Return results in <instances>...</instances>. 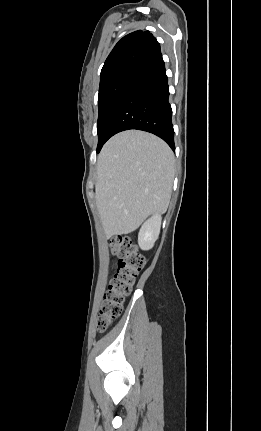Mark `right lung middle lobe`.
<instances>
[{"label":"right lung middle lobe","mask_w":261,"mask_h":431,"mask_svg":"<svg viewBox=\"0 0 261 431\" xmlns=\"http://www.w3.org/2000/svg\"><path fill=\"white\" fill-rule=\"evenodd\" d=\"M139 72L138 70L126 71L100 84L98 95L97 153L100 152L104 143L109 139L111 122Z\"/></svg>","instance_id":"right-lung-middle-lobe-1"}]
</instances>
